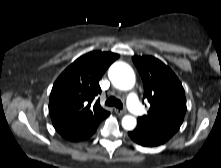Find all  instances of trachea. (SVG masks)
I'll return each instance as SVG.
<instances>
[{"label":"trachea","instance_id":"3493384b","mask_svg":"<svg viewBox=\"0 0 221 168\" xmlns=\"http://www.w3.org/2000/svg\"><path fill=\"white\" fill-rule=\"evenodd\" d=\"M105 104L107 106H115L118 109L123 108V104L120 100L116 99L115 97H110L106 100Z\"/></svg>","mask_w":221,"mask_h":168}]
</instances>
